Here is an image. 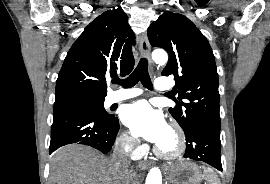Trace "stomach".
<instances>
[{
    "mask_svg": "<svg viewBox=\"0 0 270 184\" xmlns=\"http://www.w3.org/2000/svg\"><path fill=\"white\" fill-rule=\"evenodd\" d=\"M166 178L169 184H200L203 175L196 164L180 161L167 167Z\"/></svg>",
    "mask_w": 270,
    "mask_h": 184,
    "instance_id": "0dacf381",
    "label": "stomach"
}]
</instances>
